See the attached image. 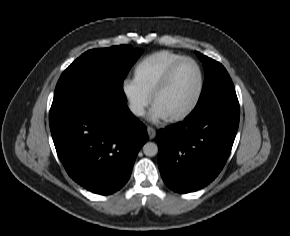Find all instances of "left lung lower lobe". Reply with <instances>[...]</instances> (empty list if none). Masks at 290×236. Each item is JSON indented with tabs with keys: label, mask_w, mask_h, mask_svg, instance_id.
Wrapping results in <instances>:
<instances>
[{
	"label": "left lung lower lobe",
	"mask_w": 290,
	"mask_h": 236,
	"mask_svg": "<svg viewBox=\"0 0 290 236\" xmlns=\"http://www.w3.org/2000/svg\"><path fill=\"white\" fill-rule=\"evenodd\" d=\"M240 120L236 92L193 111L183 122L160 129L159 169L175 192L197 191L212 182L231 152Z\"/></svg>",
	"instance_id": "obj_1"
}]
</instances>
